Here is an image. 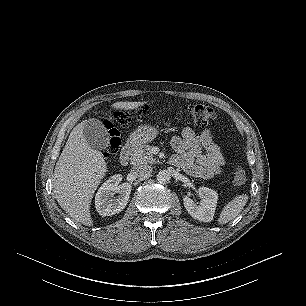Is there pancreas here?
Masks as SVG:
<instances>
[{
    "label": "pancreas",
    "mask_w": 306,
    "mask_h": 306,
    "mask_svg": "<svg viewBox=\"0 0 306 306\" xmlns=\"http://www.w3.org/2000/svg\"><path fill=\"white\" fill-rule=\"evenodd\" d=\"M151 149H152V146L148 144H142L139 147H137L131 156L132 164L140 165V164L156 163V159L153 158Z\"/></svg>",
    "instance_id": "cf45deb5"
}]
</instances>
